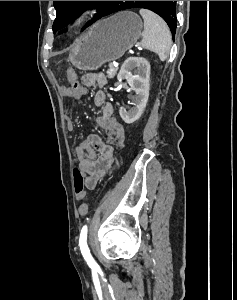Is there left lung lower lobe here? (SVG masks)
<instances>
[{
  "mask_svg": "<svg viewBox=\"0 0 237 300\" xmlns=\"http://www.w3.org/2000/svg\"><path fill=\"white\" fill-rule=\"evenodd\" d=\"M120 2L121 1H114V3L109 8V11H108L109 14L120 11L119 10ZM162 2L165 3V1H162Z\"/></svg>",
  "mask_w": 237,
  "mask_h": 300,
  "instance_id": "obj_1",
  "label": "left lung lower lobe"
}]
</instances>
